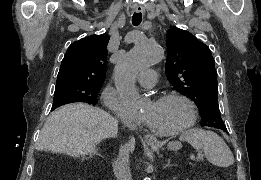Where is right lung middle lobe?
Segmentation results:
<instances>
[{"mask_svg":"<svg viewBox=\"0 0 261 180\" xmlns=\"http://www.w3.org/2000/svg\"><path fill=\"white\" fill-rule=\"evenodd\" d=\"M102 85L66 84L56 86L52 110L67 103L84 102L95 105Z\"/></svg>","mask_w":261,"mask_h":180,"instance_id":"1","label":"right lung middle lobe"}]
</instances>
